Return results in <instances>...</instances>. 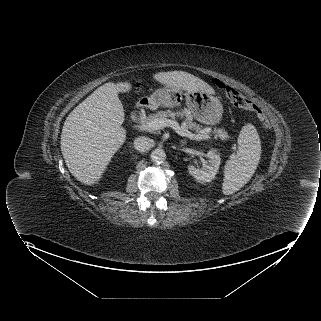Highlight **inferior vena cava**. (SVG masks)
I'll use <instances>...</instances> for the list:
<instances>
[{
    "label": "inferior vena cava",
    "instance_id": "inferior-vena-cava-1",
    "mask_svg": "<svg viewBox=\"0 0 321 321\" xmlns=\"http://www.w3.org/2000/svg\"><path fill=\"white\" fill-rule=\"evenodd\" d=\"M134 148L139 152H145L154 146V141L151 138L140 136L134 140Z\"/></svg>",
    "mask_w": 321,
    "mask_h": 321
}]
</instances>
